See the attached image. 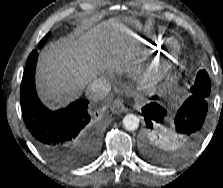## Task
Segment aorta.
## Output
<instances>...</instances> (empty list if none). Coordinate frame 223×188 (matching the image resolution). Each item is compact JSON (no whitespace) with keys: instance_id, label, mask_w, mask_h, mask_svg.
Returning <instances> with one entry per match:
<instances>
[{"instance_id":"1","label":"aorta","mask_w":223,"mask_h":188,"mask_svg":"<svg viewBox=\"0 0 223 188\" xmlns=\"http://www.w3.org/2000/svg\"><path fill=\"white\" fill-rule=\"evenodd\" d=\"M124 128L128 131H134L139 127V118L134 114H127L123 118Z\"/></svg>"}]
</instances>
